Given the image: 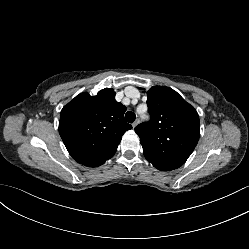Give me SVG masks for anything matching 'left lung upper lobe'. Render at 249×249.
<instances>
[{"label":"left lung upper lobe","mask_w":249,"mask_h":249,"mask_svg":"<svg viewBox=\"0 0 249 249\" xmlns=\"http://www.w3.org/2000/svg\"><path fill=\"white\" fill-rule=\"evenodd\" d=\"M147 105L150 121L135 127L144 156L159 170L177 169L197 145L199 115L176 91L165 86H154L147 92Z\"/></svg>","instance_id":"1"}]
</instances>
